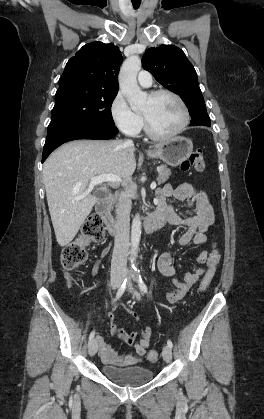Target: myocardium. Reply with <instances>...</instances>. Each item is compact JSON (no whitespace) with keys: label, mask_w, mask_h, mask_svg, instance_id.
Wrapping results in <instances>:
<instances>
[{"label":"myocardium","mask_w":264,"mask_h":419,"mask_svg":"<svg viewBox=\"0 0 264 419\" xmlns=\"http://www.w3.org/2000/svg\"><path fill=\"white\" fill-rule=\"evenodd\" d=\"M162 95L171 96L172 98H174L177 101V103L179 104V106L181 108L183 118H182L181 124L179 125V127L175 131H173L171 133H168V134H159L153 129L148 117L145 114H143L145 130H146L147 135L151 139L157 140V141L171 140V139L175 138L176 136H178L179 134H181L184 131V129L187 127V125L189 123V118H190L189 111H188V108H187L184 100L177 93H175L171 90H168V89H158V90L152 91L150 93L149 97L152 98V99H155V98H158Z\"/></svg>","instance_id":"obj_1"}]
</instances>
